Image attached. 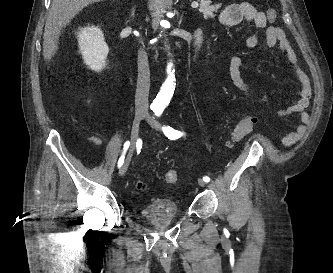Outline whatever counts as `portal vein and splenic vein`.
<instances>
[{
	"label": "portal vein and splenic vein",
	"instance_id": "18ae733b",
	"mask_svg": "<svg viewBox=\"0 0 333 273\" xmlns=\"http://www.w3.org/2000/svg\"><path fill=\"white\" fill-rule=\"evenodd\" d=\"M191 6H192L193 8H197V7L199 6V4H198L197 2H194V3L191 4Z\"/></svg>",
	"mask_w": 333,
	"mask_h": 273
}]
</instances>
